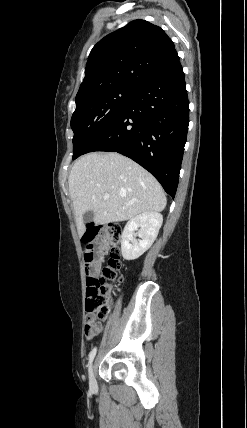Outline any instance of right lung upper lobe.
Listing matches in <instances>:
<instances>
[{
  "label": "right lung upper lobe",
  "mask_w": 247,
  "mask_h": 428,
  "mask_svg": "<svg viewBox=\"0 0 247 428\" xmlns=\"http://www.w3.org/2000/svg\"><path fill=\"white\" fill-rule=\"evenodd\" d=\"M178 60L174 43L160 27L134 20L93 47L76 96L115 86L140 90Z\"/></svg>",
  "instance_id": "1"
}]
</instances>
